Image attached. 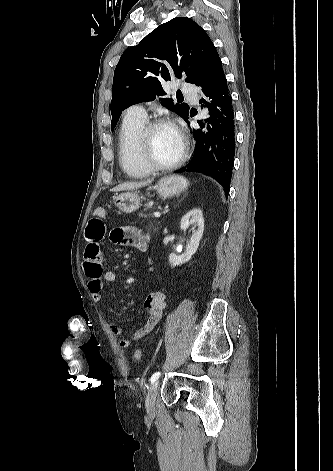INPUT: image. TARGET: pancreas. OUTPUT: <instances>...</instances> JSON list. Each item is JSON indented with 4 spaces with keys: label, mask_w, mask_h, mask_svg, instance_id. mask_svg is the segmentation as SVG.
<instances>
[{
    "label": "pancreas",
    "mask_w": 333,
    "mask_h": 471,
    "mask_svg": "<svg viewBox=\"0 0 333 471\" xmlns=\"http://www.w3.org/2000/svg\"><path fill=\"white\" fill-rule=\"evenodd\" d=\"M145 207H146V209H144V212L142 211V212L139 213V217H140V218H144V219L151 218V217H152L151 214L145 213V212L147 211V209L150 208V205H149V204H146ZM158 226H159V223H157L156 221H153V222L150 221V222L148 223L147 228H148L149 230L156 231V229L158 228Z\"/></svg>",
    "instance_id": "cf45deb5"
}]
</instances>
